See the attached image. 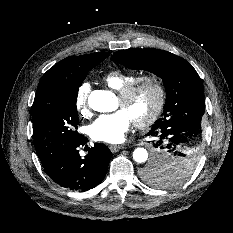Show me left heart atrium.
Segmentation results:
<instances>
[{"mask_svg":"<svg viewBox=\"0 0 233 233\" xmlns=\"http://www.w3.org/2000/svg\"><path fill=\"white\" fill-rule=\"evenodd\" d=\"M132 119L129 114L119 109L114 113L99 116L90 126L92 139L107 143L122 142L130 129Z\"/></svg>","mask_w":233,"mask_h":233,"instance_id":"obj_1","label":"left heart atrium"}]
</instances>
